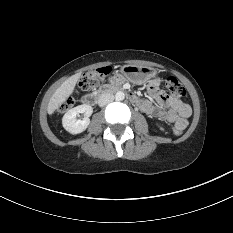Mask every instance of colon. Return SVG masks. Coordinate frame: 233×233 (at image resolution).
<instances>
[{
    "mask_svg": "<svg viewBox=\"0 0 233 233\" xmlns=\"http://www.w3.org/2000/svg\"><path fill=\"white\" fill-rule=\"evenodd\" d=\"M110 73L111 69L109 67H102L95 71L85 73L79 81V87L85 91L95 89L100 84V82L104 81L110 75ZM166 88L169 95L172 97H182L185 95V88L175 77H169L167 79ZM72 104L73 100L71 98L67 99L61 105L60 109L63 111L67 110L72 106ZM173 132L176 135H180L183 130L178 126H174Z\"/></svg>",
    "mask_w": 233,
    "mask_h": 233,
    "instance_id": "1",
    "label": "colon"
}]
</instances>
